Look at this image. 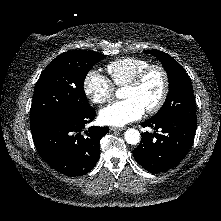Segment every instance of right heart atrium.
<instances>
[{"label":"right heart atrium","mask_w":221,"mask_h":221,"mask_svg":"<svg viewBox=\"0 0 221 221\" xmlns=\"http://www.w3.org/2000/svg\"><path fill=\"white\" fill-rule=\"evenodd\" d=\"M83 90L92 103L101 105L112 100L115 87L101 72L91 70L84 78Z\"/></svg>","instance_id":"right-heart-atrium-1"}]
</instances>
